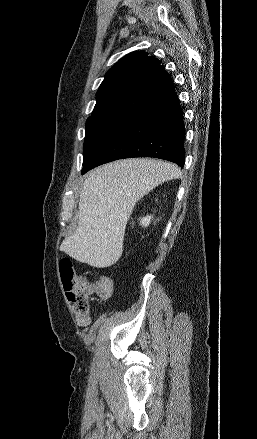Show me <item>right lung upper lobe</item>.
Segmentation results:
<instances>
[{
    "instance_id": "obj_1",
    "label": "right lung upper lobe",
    "mask_w": 257,
    "mask_h": 439,
    "mask_svg": "<svg viewBox=\"0 0 257 439\" xmlns=\"http://www.w3.org/2000/svg\"><path fill=\"white\" fill-rule=\"evenodd\" d=\"M161 62L144 51L124 56L108 70L91 114L130 118L175 90Z\"/></svg>"
}]
</instances>
